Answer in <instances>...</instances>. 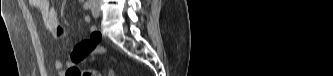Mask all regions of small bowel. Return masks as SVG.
<instances>
[{"mask_svg": "<svg viewBox=\"0 0 333 76\" xmlns=\"http://www.w3.org/2000/svg\"><path fill=\"white\" fill-rule=\"evenodd\" d=\"M34 5L43 18L47 30L52 34L63 36L65 29L50 3L46 0H34ZM84 21L89 23L90 18L86 16ZM101 41V33L97 32L96 28L92 26L89 29V37L69 47V59L65 63L61 60H56L53 64L54 68L57 71H62L65 68L64 76H81L80 62L97 53H101L103 51L99 45Z\"/></svg>", "mask_w": 333, "mask_h": 76, "instance_id": "c3829d8e", "label": "small bowel"}]
</instances>
